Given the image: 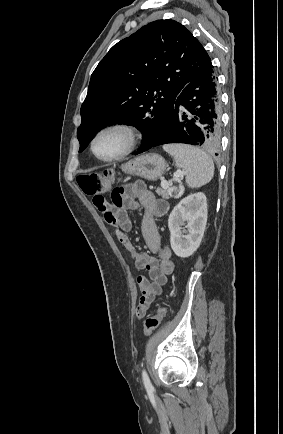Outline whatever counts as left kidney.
Returning a JSON list of instances; mask_svg holds the SVG:
<instances>
[{"instance_id": "obj_1", "label": "left kidney", "mask_w": 283, "mask_h": 434, "mask_svg": "<svg viewBox=\"0 0 283 434\" xmlns=\"http://www.w3.org/2000/svg\"><path fill=\"white\" fill-rule=\"evenodd\" d=\"M206 223L207 199L202 192L188 195L173 208L168 227L171 248L177 256L187 258L198 249Z\"/></svg>"}]
</instances>
